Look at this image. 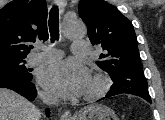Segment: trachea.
Returning <instances> with one entry per match:
<instances>
[{"mask_svg":"<svg viewBox=\"0 0 165 120\" xmlns=\"http://www.w3.org/2000/svg\"><path fill=\"white\" fill-rule=\"evenodd\" d=\"M49 31L51 36V42L54 43L55 40L59 39V10L58 6H54L50 10L49 14Z\"/></svg>","mask_w":165,"mask_h":120,"instance_id":"trachea-1","label":"trachea"}]
</instances>
